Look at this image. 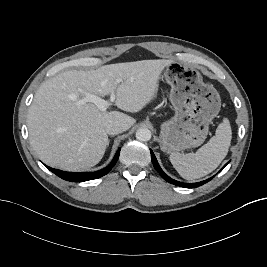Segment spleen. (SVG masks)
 Returning <instances> with one entry per match:
<instances>
[{
  "label": "spleen",
  "mask_w": 267,
  "mask_h": 267,
  "mask_svg": "<svg viewBox=\"0 0 267 267\" xmlns=\"http://www.w3.org/2000/svg\"><path fill=\"white\" fill-rule=\"evenodd\" d=\"M232 139L229 120H224L216 129L215 136L195 153L170 155V162L186 180H195L214 171L226 157Z\"/></svg>",
  "instance_id": "3e777b00"
}]
</instances>
